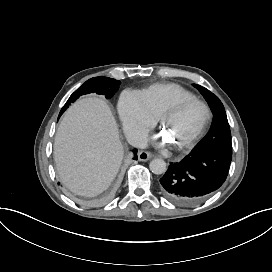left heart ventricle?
<instances>
[{
	"instance_id": "b2bd125f",
	"label": "left heart ventricle",
	"mask_w": 272,
	"mask_h": 272,
	"mask_svg": "<svg viewBox=\"0 0 272 272\" xmlns=\"http://www.w3.org/2000/svg\"><path fill=\"white\" fill-rule=\"evenodd\" d=\"M201 117V109L197 106H191L180 113L168 114L166 126L174 137L184 143L199 124Z\"/></svg>"
}]
</instances>
